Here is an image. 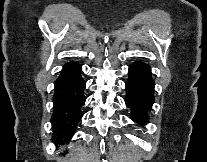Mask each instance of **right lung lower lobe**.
<instances>
[{
  "label": "right lung lower lobe",
  "instance_id": "98d812e1",
  "mask_svg": "<svg viewBox=\"0 0 207 162\" xmlns=\"http://www.w3.org/2000/svg\"><path fill=\"white\" fill-rule=\"evenodd\" d=\"M81 66L76 62L66 63L55 82L53 129L54 141L63 144L69 140L82 117L85 103V81L80 75Z\"/></svg>",
  "mask_w": 207,
  "mask_h": 162
}]
</instances>
